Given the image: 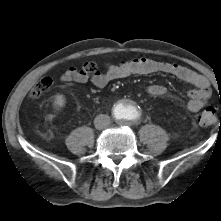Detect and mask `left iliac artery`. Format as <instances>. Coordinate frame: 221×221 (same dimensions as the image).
Listing matches in <instances>:
<instances>
[{"label":"left iliac artery","mask_w":221,"mask_h":221,"mask_svg":"<svg viewBox=\"0 0 221 221\" xmlns=\"http://www.w3.org/2000/svg\"><path fill=\"white\" fill-rule=\"evenodd\" d=\"M137 114H133L132 116H131V118H133V119H135V118H137Z\"/></svg>","instance_id":"44dca946"}]
</instances>
